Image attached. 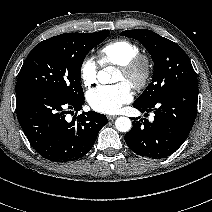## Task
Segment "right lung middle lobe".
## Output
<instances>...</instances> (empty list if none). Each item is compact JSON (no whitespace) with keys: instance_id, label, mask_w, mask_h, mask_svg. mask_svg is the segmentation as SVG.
I'll return each mask as SVG.
<instances>
[{"instance_id":"1","label":"right lung middle lobe","mask_w":212,"mask_h":212,"mask_svg":"<svg viewBox=\"0 0 212 212\" xmlns=\"http://www.w3.org/2000/svg\"><path fill=\"white\" fill-rule=\"evenodd\" d=\"M109 31L65 33L55 40L37 44L25 60L16 84V93L47 90L67 99L83 97L81 66L89 50L103 42Z\"/></svg>"}]
</instances>
